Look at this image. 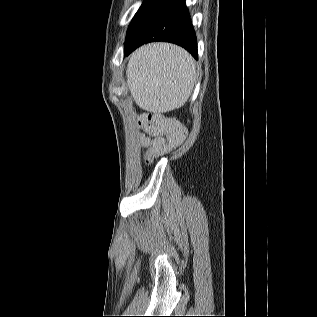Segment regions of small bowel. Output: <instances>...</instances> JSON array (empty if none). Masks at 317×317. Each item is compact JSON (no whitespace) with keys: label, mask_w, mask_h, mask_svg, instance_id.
<instances>
[{"label":"small bowel","mask_w":317,"mask_h":317,"mask_svg":"<svg viewBox=\"0 0 317 317\" xmlns=\"http://www.w3.org/2000/svg\"><path fill=\"white\" fill-rule=\"evenodd\" d=\"M141 140H142V143H143L145 146H149L150 143H151L150 139L147 138V137H142Z\"/></svg>","instance_id":"small-bowel-1"}]
</instances>
